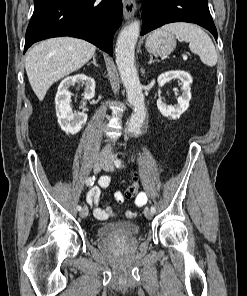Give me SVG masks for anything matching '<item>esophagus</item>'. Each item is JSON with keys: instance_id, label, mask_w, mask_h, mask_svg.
<instances>
[{"instance_id": "1", "label": "esophagus", "mask_w": 247, "mask_h": 296, "mask_svg": "<svg viewBox=\"0 0 247 296\" xmlns=\"http://www.w3.org/2000/svg\"><path fill=\"white\" fill-rule=\"evenodd\" d=\"M136 11V3L134 0H124L123 16L125 20H129Z\"/></svg>"}]
</instances>
